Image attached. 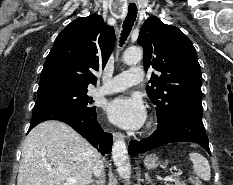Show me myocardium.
<instances>
[{"mask_svg":"<svg viewBox=\"0 0 233 185\" xmlns=\"http://www.w3.org/2000/svg\"><path fill=\"white\" fill-rule=\"evenodd\" d=\"M157 126V119L155 117H150L146 123L145 130L151 131Z\"/></svg>","mask_w":233,"mask_h":185,"instance_id":"obj_1","label":"myocardium"}]
</instances>
